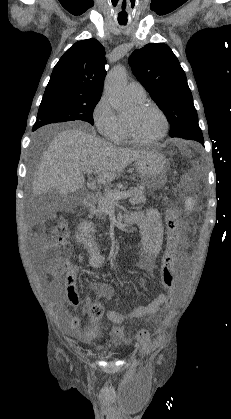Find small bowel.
<instances>
[{"label":"small bowel","mask_w":231,"mask_h":419,"mask_svg":"<svg viewBox=\"0 0 231 419\" xmlns=\"http://www.w3.org/2000/svg\"><path fill=\"white\" fill-rule=\"evenodd\" d=\"M134 223L140 227L142 237V247L145 253L144 265L146 268H152L156 255L161 251L164 238V229L161 216L156 209H148L146 211L137 212L131 215ZM75 240L82 246L84 253L78 256L80 263L86 264L93 268L103 269L107 267V261L100 252V247L95 240V225L89 220L80 222ZM178 258H184L186 255L187 243L182 241L178 246ZM176 261V260H175ZM53 272L54 267L51 266ZM73 277V276H72ZM74 280V278H73ZM143 282L142 278H138ZM67 282V281H66ZM98 295L105 299H110L114 296L113 288L108 284H101L97 287ZM66 295L73 305L79 302L78 295L73 283H66V287H56L54 289V302L57 304L60 297ZM166 294H158L154 296L149 303L136 307L129 314H122L115 310L107 312L108 319L114 324H122L129 319H139L146 316H152L158 313L164 303L163 298ZM95 303L89 298L85 299V310L89 313L91 324L86 329L81 328L79 317L68 315V317L61 322L62 328L72 337L84 342L94 341L98 334L97 320L90 314V309Z\"/></svg>","instance_id":"obj_1"}]
</instances>
